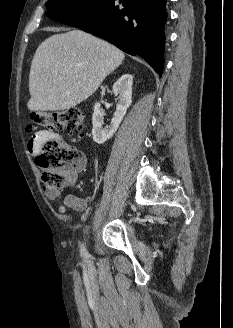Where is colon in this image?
Listing matches in <instances>:
<instances>
[{"instance_id":"obj_1","label":"colon","mask_w":233,"mask_h":328,"mask_svg":"<svg viewBox=\"0 0 233 328\" xmlns=\"http://www.w3.org/2000/svg\"><path fill=\"white\" fill-rule=\"evenodd\" d=\"M30 118L35 126L45 127L50 131L68 130L82 135L86 113L75 107L63 111L33 112ZM35 160L42 170L44 185L48 188H60L74 178L83 163V155L77 148L52 138L42 144Z\"/></svg>"}]
</instances>
